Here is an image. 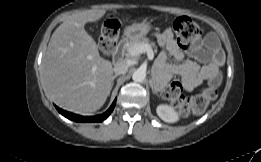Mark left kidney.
Here are the masks:
<instances>
[{
    "instance_id": "left-kidney-1",
    "label": "left kidney",
    "mask_w": 261,
    "mask_h": 162,
    "mask_svg": "<svg viewBox=\"0 0 261 162\" xmlns=\"http://www.w3.org/2000/svg\"><path fill=\"white\" fill-rule=\"evenodd\" d=\"M156 111L158 116L165 122L174 123L179 119L178 112L172 106L162 104L157 107Z\"/></svg>"
}]
</instances>
